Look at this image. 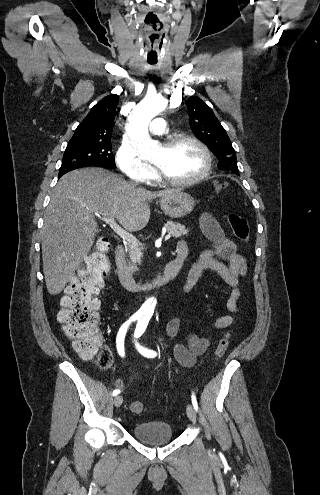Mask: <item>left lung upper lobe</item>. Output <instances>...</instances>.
<instances>
[{
    "instance_id": "obj_1",
    "label": "left lung upper lobe",
    "mask_w": 320,
    "mask_h": 495,
    "mask_svg": "<svg viewBox=\"0 0 320 495\" xmlns=\"http://www.w3.org/2000/svg\"><path fill=\"white\" fill-rule=\"evenodd\" d=\"M186 105L191 129L219 159L218 168L238 175L235 150L212 109L195 96L187 99Z\"/></svg>"
}]
</instances>
